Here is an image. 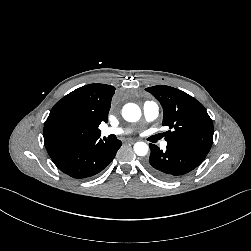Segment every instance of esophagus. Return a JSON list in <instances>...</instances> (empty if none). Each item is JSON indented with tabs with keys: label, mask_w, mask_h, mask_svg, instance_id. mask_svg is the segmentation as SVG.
Wrapping results in <instances>:
<instances>
[{
	"label": "esophagus",
	"mask_w": 251,
	"mask_h": 251,
	"mask_svg": "<svg viewBox=\"0 0 251 251\" xmlns=\"http://www.w3.org/2000/svg\"><path fill=\"white\" fill-rule=\"evenodd\" d=\"M127 142H128V143H134L135 140H134V139H129V140H127Z\"/></svg>",
	"instance_id": "1"
}]
</instances>
